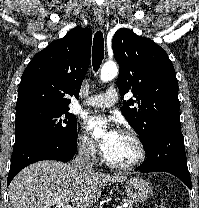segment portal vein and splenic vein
I'll list each match as a JSON object with an SVG mask.
<instances>
[{"mask_svg": "<svg viewBox=\"0 0 199 208\" xmlns=\"http://www.w3.org/2000/svg\"><path fill=\"white\" fill-rule=\"evenodd\" d=\"M58 207L59 208H74L70 205H64L63 203H58ZM122 207H126V205H123V206H117L116 208H122Z\"/></svg>", "mask_w": 199, "mask_h": 208, "instance_id": "portal-vein-and-splenic-vein-1", "label": "portal vein and splenic vein"}]
</instances>
